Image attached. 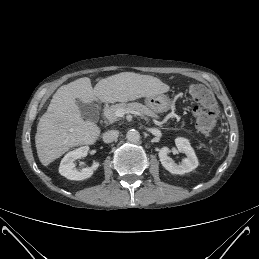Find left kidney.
<instances>
[{
    "mask_svg": "<svg viewBox=\"0 0 259 259\" xmlns=\"http://www.w3.org/2000/svg\"><path fill=\"white\" fill-rule=\"evenodd\" d=\"M175 144L178 151L184 153L186 158L183 159L181 164H176L172 158L168 156L170 149L168 147H163L158 153L162 166L170 173L180 175L191 172L197 168L198 159L190 145V142L185 138L178 137L175 139Z\"/></svg>",
    "mask_w": 259,
    "mask_h": 259,
    "instance_id": "5707ae66",
    "label": "left kidney"
}]
</instances>
